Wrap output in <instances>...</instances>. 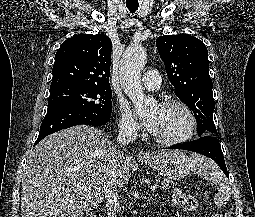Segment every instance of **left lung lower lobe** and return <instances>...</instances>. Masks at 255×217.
I'll return each instance as SVG.
<instances>
[{"instance_id": "obj_1", "label": "left lung lower lobe", "mask_w": 255, "mask_h": 217, "mask_svg": "<svg viewBox=\"0 0 255 217\" xmlns=\"http://www.w3.org/2000/svg\"><path fill=\"white\" fill-rule=\"evenodd\" d=\"M169 149H182L205 155L214 160L224 172V174L229 178V174L224 162L223 153L221 151V147L216 135L206 134L200 136V138L193 142L172 146L169 147Z\"/></svg>"}]
</instances>
